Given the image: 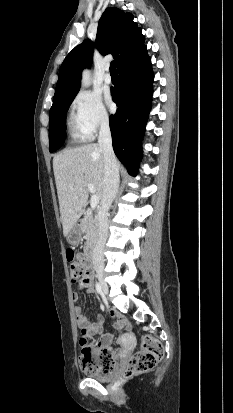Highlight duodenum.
Wrapping results in <instances>:
<instances>
[{
	"mask_svg": "<svg viewBox=\"0 0 233 413\" xmlns=\"http://www.w3.org/2000/svg\"><path fill=\"white\" fill-rule=\"evenodd\" d=\"M93 245L89 244L85 250V258L87 261H91L92 260V256H93Z\"/></svg>",
	"mask_w": 233,
	"mask_h": 413,
	"instance_id": "1",
	"label": "duodenum"
}]
</instances>
